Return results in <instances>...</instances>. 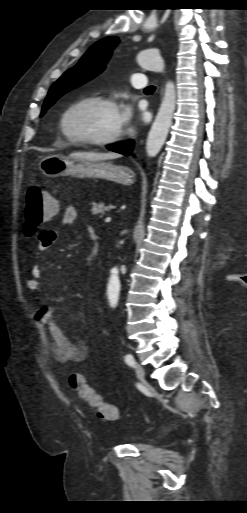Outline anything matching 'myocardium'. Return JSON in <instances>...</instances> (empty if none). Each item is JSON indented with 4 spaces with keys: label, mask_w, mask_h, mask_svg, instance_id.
I'll return each instance as SVG.
<instances>
[{
    "label": "myocardium",
    "mask_w": 247,
    "mask_h": 513,
    "mask_svg": "<svg viewBox=\"0 0 247 513\" xmlns=\"http://www.w3.org/2000/svg\"><path fill=\"white\" fill-rule=\"evenodd\" d=\"M88 103H99L104 104L112 107H117L116 101L108 96L100 95V94H92L85 97H82L74 102H71L68 104L61 112L59 116L58 121V127L60 132L63 134L65 138H67L69 141L75 142V143H81V144H89V145H96V146H104L109 145L112 143L117 142L120 140V138L123 136V128L120 127L116 132L113 134H110L105 137L101 138H92V137H85V136H78L71 134L67 127L66 122L69 114L78 106L82 104H88Z\"/></svg>",
    "instance_id": "obj_1"
}]
</instances>
